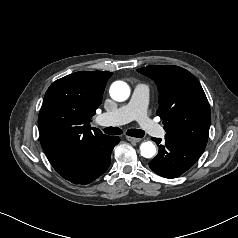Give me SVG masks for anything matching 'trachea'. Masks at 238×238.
<instances>
[{
	"mask_svg": "<svg viewBox=\"0 0 238 238\" xmlns=\"http://www.w3.org/2000/svg\"><path fill=\"white\" fill-rule=\"evenodd\" d=\"M103 130L106 134L109 135H120L122 133L121 129H119L118 127H107ZM144 134V131H142L141 129H129L127 131V135L137 138L143 137Z\"/></svg>",
	"mask_w": 238,
	"mask_h": 238,
	"instance_id": "trachea-1",
	"label": "trachea"
}]
</instances>
